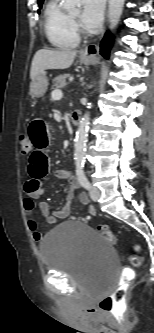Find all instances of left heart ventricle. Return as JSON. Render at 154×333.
Returning a JSON list of instances; mask_svg holds the SVG:
<instances>
[{"mask_svg":"<svg viewBox=\"0 0 154 333\" xmlns=\"http://www.w3.org/2000/svg\"><path fill=\"white\" fill-rule=\"evenodd\" d=\"M71 16L75 19H78L80 17V11L78 10V11L71 13Z\"/></svg>","mask_w":154,"mask_h":333,"instance_id":"1","label":"left heart ventricle"}]
</instances>
